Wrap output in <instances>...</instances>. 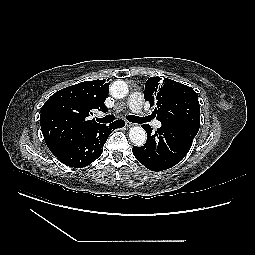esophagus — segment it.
Wrapping results in <instances>:
<instances>
[{
	"label": "esophagus",
	"instance_id": "34e87169",
	"mask_svg": "<svg viewBox=\"0 0 255 255\" xmlns=\"http://www.w3.org/2000/svg\"><path fill=\"white\" fill-rule=\"evenodd\" d=\"M125 125H126L127 127H132V126L134 125V123L129 122V121H126V122H125Z\"/></svg>",
	"mask_w": 255,
	"mask_h": 255
}]
</instances>
